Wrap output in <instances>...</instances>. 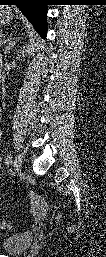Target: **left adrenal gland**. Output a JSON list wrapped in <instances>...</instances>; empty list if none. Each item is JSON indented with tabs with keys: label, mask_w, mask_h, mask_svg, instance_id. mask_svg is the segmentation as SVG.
<instances>
[{
	"label": "left adrenal gland",
	"mask_w": 106,
	"mask_h": 257,
	"mask_svg": "<svg viewBox=\"0 0 106 257\" xmlns=\"http://www.w3.org/2000/svg\"><path fill=\"white\" fill-rule=\"evenodd\" d=\"M17 38H14L12 34L7 39V46L5 47L4 54L6 57V54L9 53L10 49L16 44Z\"/></svg>",
	"instance_id": "left-adrenal-gland-1"
}]
</instances>
